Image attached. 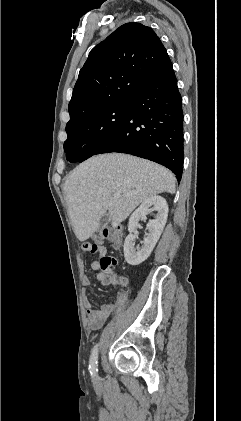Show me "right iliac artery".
Listing matches in <instances>:
<instances>
[{
	"mask_svg": "<svg viewBox=\"0 0 241 421\" xmlns=\"http://www.w3.org/2000/svg\"><path fill=\"white\" fill-rule=\"evenodd\" d=\"M89 370L93 377L96 376L98 371V345H95L92 350L89 361Z\"/></svg>",
	"mask_w": 241,
	"mask_h": 421,
	"instance_id": "obj_1",
	"label": "right iliac artery"
}]
</instances>
